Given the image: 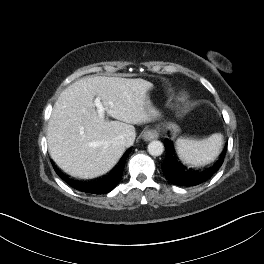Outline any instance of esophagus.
<instances>
[{"label":"esophagus","instance_id":"obj_1","mask_svg":"<svg viewBox=\"0 0 264 264\" xmlns=\"http://www.w3.org/2000/svg\"><path fill=\"white\" fill-rule=\"evenodd\" d=\"M159 136V133L156 129H148L145 130L142 134V137L145 141H150L153 139H157Z\"/></svg>","mask_w":264,"mask_h":264}]
</instances>
